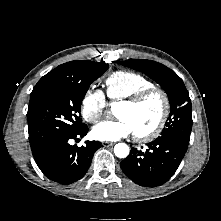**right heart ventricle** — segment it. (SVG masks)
Here are the masks:
<instances>
[{
  "mask_svg": "<svg viewBox=\"0 0 221 221\" xmlns=\"http://www.w3.org/2000/svg\"><path fill=\"white\" fill-rule=\"evenodd\" d=\"M154 84L143 75L131 71H116L104 81L105 94L110 102L116 103L129 98Z\"/></svg>",
  "mask_w": 221,
  "mask_h": 221,
  "instance_id": "1",
  "label": "right heart ventricle"
}]
</instances>
